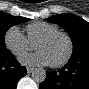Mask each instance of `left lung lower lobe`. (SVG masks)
I'll use <instances>...</instances> for the list:
<instances>
[{
    "instance_id": "left-lung-lower-lobe-1",
    "label": "left lung lower lobe",
    "mask_w": 89,
    "mask_h": 89,
    "mask_svg": "<svg viewBox=\"0 0 89 89\" xmlns=\"http://www.w3.org/2000/svg\"><path fill=\"white\" fill-rule=\"evenodd\" d=\"M40 89H89V52L70 58L58 72H46Z\"/></svg>"
}]
</instances>
